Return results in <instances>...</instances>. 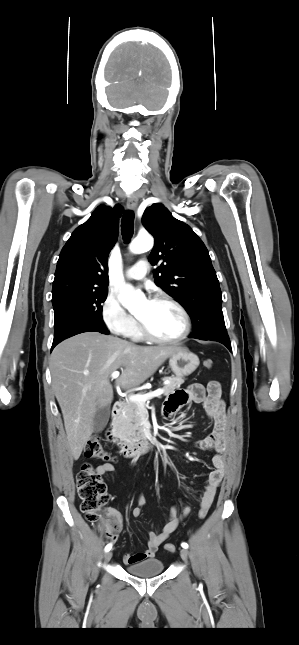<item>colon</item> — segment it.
<instances>
[{"label": "colon", "instance_id": "5ec220e1", "mask_svg": "<svg viewBox=\"0 0 299 645\" xmlns=\"http://www.w3.org/2000/svg\"><path fill=\"white\" fill-rule=\"evenodd\" d=\"M204 367L211 369L213 361L206 359L203 362ZM217 383V382H214ZM84 456L88 459H101L104 461L111 460V456L104 451L102 444L97 437L88 440ZM78 495L81 499V511L84 513L85 518L91 523H99L102 520L103 514H108L105 506L109 500L107 488L100 475L97 474L91 465L83 464L76 476ZM207 516V509L201 508L198 513L199 519H204ZM105 534L108 538H114L115 533L118 531L119 526L113 522L105 520L103 523ZM166 551L175 552L176 547L174 544H166Z\"/></svg>", "mask_w": 299, "mask_h": 645}]
</instances>
